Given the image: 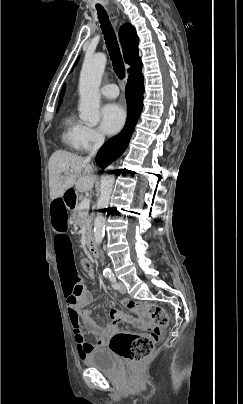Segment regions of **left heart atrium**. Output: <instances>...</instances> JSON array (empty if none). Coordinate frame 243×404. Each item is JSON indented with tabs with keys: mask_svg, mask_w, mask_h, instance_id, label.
I'll return each instance as SVG.
<instances>
[{
	"mask_svg": "<svg viewBox=\"0 0 243 404\" xmlns=\"http://www.w3.org/2000/svg\"><path fill=\"white\" fill-rule=\"evenodd\" d=\"M125 122V112L116 102L105 104L100 110V129L107 135L118 132Z\"/></svg>",
	"mask_w": 243,
	"mask_h": 404,
	"instance_id": "left-heart-atrium-1",
	"label": "left heart atrium"
}]
</instances>
